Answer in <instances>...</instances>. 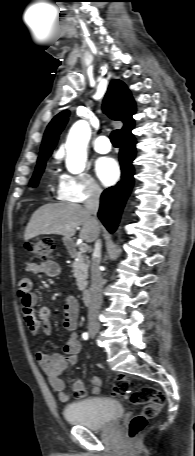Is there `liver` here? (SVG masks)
<instances>
[{"label": "liver", "mask_w": 195, "mask_h": 456, "mask_svg": "<svg viewBox=\"0 0 195 456\" xmlns=\"http://www.w3.org/2000/svg\"><path fill=\"white\" fill-rule=\"evenodd\" d=\"M82 226L79 237L87 243L95 241L100 233L99 223L91 220L85 207L75 203H53L38 208L24 232L26 241L39 235L57 234L71 239Z\"/></svg>", "instance_id": "obj_1"}]
</instances>
